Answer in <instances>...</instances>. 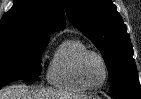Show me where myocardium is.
<instances>
[{"label": "myocardium", "instance_id": "f54148a6", "mask_svg": "<svg viewBox=\"0 0 141 99\" xmlns=\"http://www.w3.org/2000/svg\"><path fill=\"white\" fill-rule=\"evenodd\" d=\"M90 55H94V56L98 57L100 59L102 65H103V68H104V79H103L101 84L96 85V86L90 85L86 81V79L84 77V74H83V64H84L86 58L88 56H90ZM76 72H77V76H78L79 81L87 89H91V90H97V89L102 88L106 84L107 80L109 79V67H108V64H107V61H106L105 57L99 51L92 50V49H86L85 51H83L80 54V56H79V58L77 60Z\"/></svg>", "mask_w": 141, "mask_h": 99}]
</instances>
